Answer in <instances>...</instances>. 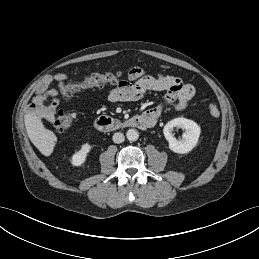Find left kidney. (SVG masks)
I'll return each instance as SVG.
<instances>
[{
  "label": "left kidney",
  "instance_id": "5707ae66",
  "mask_svg": "<svg viewBox=\"0 0 259 259\" xmlns=\"http://www.w3.org/2000/svg\"><path fill=\"white\" fill-rule=\"evenodd\" d=\"M174 127L185 130L181 140H177L173 136L172 131ZM163 133L166 140L169 142V148L171 151L178 154H186L192 151V149L197 145L201 128L193 120L179 117L169 121L164 126Z\"/></svg>",
  "mask_w": 259,
  "mask_h": 259
}]
</instances>
